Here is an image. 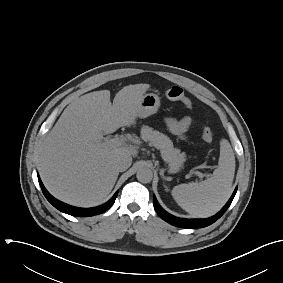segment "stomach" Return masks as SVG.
<instances>
[{"label": "stomach", "instance_id": "1", "mask_svg": "<svg viewBox=\"0 0 283 283\" xmlns=\"http://www.w3.org/2000/svg\"><path fill=\"white\" fill-rule=\"evenodd\" d=\"M160 97L154 93L144 94L136 109V116L146 118L155 114L160 107Z\"/></svg>", "mask_w": 283, "mask_h": 283}]
</instances>
